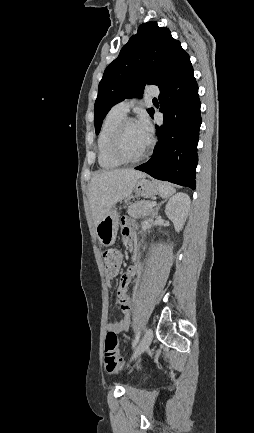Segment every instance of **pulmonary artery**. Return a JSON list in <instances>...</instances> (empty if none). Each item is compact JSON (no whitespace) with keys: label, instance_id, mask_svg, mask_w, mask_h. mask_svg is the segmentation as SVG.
Masks as SVG:
<instances>
[{"label":"pulmonary artery","instance_id":"1","mask_svg":"<svg viewBox=\"0 0 254 433\" xmlns=\"http://www.w3.org/2000/svg\"><path fill=\"white\" fill-rule=\"evenodd\" d=\"M145 92L147 95H150V96H157L159 94L158 88H156L155 86H151V85L146 87ZM132 105H133V101L126 99V100H123V101L117 103L116 105H114L112 110L115 112L121 113V114H126Z\"/></svg>","mask_w":254,"mask_h":433}]
</instances>
